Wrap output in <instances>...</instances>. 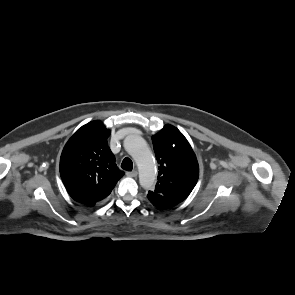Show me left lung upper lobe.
<instances>
[{
  "label": "left lung upper lobe",
  "mask_w": 295,
  "mask_h": 295,
  "mask_svg": "<svg viewBox=\"0 0 295 295\" xmlns=\"http://www.w3.org/2000/svg\"><path fill=\"white\" fill-rule=\"evenodd\" d=\"M152 141L159 163L158 181L152 191L181 203L198 181L196 155L184 135L169 124L152 136Z\"/></svg>",
  "instance_id": "obj_1"
}]
</instances>
